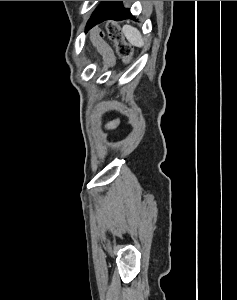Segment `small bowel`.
<instances>
[{
  "mask_svg": "<svg viewBox=\"0 0 237 300\" xmlns=\"http://www.w3.org/2000/svg\"><path fill=\"white\" fill-rule=\"evenodd\" d=\"M119 124V121L117 119L115 120H112L111 122L107 123L105 125V128L108 129V130H111V129H114L118 126Z\"/></svg>",
  "mask_w": 237,
  "mask_h": 300,
  "instance_id": "1",
  "label": "small bowel"
}]
</instances>
